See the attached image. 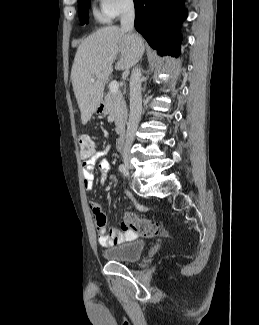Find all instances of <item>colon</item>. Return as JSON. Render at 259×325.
Returning a JSON list of instances; mask_svg holds the SVG:
<instances>
[{
    "mask_svg": "<svg viewBox=\"0 0 259 325\" xmlns=\"http://www.w3.org/2000/svg\"><path fill=\"white\" fill-rule=\"evenodd\" d=\"M78 146L80 156L83 159L90 158L95 152L94 142L87 134H83L79 137ZM124 222L135 233L147 238L163 236L165 234L164 228L158 221L139 218L133 213H126Z\"/></svg>",
    "mask_w": 259,
    "mask_h": 325,
    "instance_id": "1",
    "label": "colon"
}]
</instances>
